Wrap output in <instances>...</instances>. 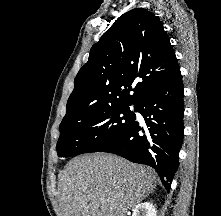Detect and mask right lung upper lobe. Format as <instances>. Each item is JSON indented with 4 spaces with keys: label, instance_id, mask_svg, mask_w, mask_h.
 I'll use <instances>...</instances> for the list:
<instances>
[{
    "label": "right lung upper lobe",
    "instance_id": "obj_1",
    "mask_svg": "<svg viewBox=\"0 0 221 216\" xmlns=\"http://www.w3.org/2000/svg\"><path fill=\"white\" fill-rule=\"evenodd\" d=\"M178 70L158 17L143 8L130 10L92 46L74 80L62 122L110 106L136 105Z\"/></svg>",
    "mask_w": 221,
    "mask_h": 216
}]
</instances>
